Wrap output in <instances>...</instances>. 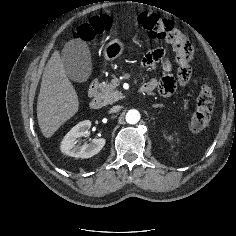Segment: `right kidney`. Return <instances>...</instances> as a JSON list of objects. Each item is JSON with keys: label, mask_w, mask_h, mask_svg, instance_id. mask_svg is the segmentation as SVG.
I'll list each match as a JSON object with an SVG mask.
<instances>
[{"label": "right kidney", "mask_w": 236, "mask_h": 236, "mask_svg": "<svg viewBox=\"0 0 236 236\" xmlns=\"http://www.w3.org/2000/svg\"><path fill=\"white\" fill-rule=\"evenodd\" d=\"M90 127L91 122L89 120L82 121L74 126L62 140L61 152L76 158H90L99 153L106 143L104 138H94L88 144L76 145L80 138L88 134Z\"/></svg>", "instance_id": "ca27d5eb"}]
</instances>
